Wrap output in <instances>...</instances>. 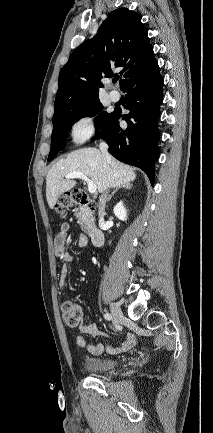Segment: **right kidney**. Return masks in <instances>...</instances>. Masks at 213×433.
Returning <instances> with one entry per match:
<instances>
[{"mask_svg": "<svg viewBox=\"0 0 213 433\" xmlns=\"http://www.w3.org/2000/svg\"><path fill=\"white\" fill-rule=\"evenodd\" d=\"M113 212L118 219H120L122 221H125L127 219V212H126L125 207L123 206L122 201H120L116 204Z\"/></svg>", "mask_w": 213, "mask_h": 433, "instance_id": "ca27d5eb", "label": "right kidney"}]
</instances>
